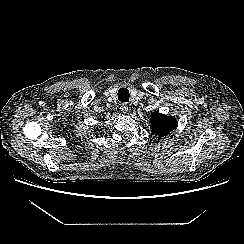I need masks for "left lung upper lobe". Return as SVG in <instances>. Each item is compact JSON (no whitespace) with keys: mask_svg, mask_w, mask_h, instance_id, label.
<instances>
[{"mask_svg":"<svg viewBox=\"0 0 244 244\" xmlns=\"http://www.w3.org/2000/svg\"><path fill=\"white\" fill-rule=\"evenodd\" d=\"M177 127V121L174 117H168L158 112L151 114V130L154 134L164 137Z\"/></svg>","mask_w":244,"mask_h":244,"instance_id":"left-lung-upper-lobe-1","label":"left lung upper lobe"}]
</instances>
